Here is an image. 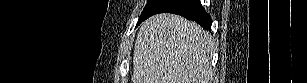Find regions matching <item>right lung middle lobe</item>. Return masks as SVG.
<instances>
[{
  "label": "right lung middle lobe",
  "instance_id": "right-lung-middle-lobe-1",
  "mask_svg": "<svg viewBox=\"0 0 307 83\" xmlns=\"http://www.w3.org/2000/svg\"><path fill=\"white\" fill-rule=\"evenodd\" d=\"M154 2H155V0H148L147 5L145 6V8L143 10L137 25H139L143 21V19L148 15V13L150 12Z\"/></svg>",
  "mask_w": 307,
  "mask_h": 83
}]
</instances>
